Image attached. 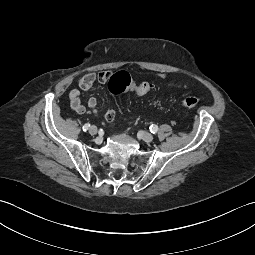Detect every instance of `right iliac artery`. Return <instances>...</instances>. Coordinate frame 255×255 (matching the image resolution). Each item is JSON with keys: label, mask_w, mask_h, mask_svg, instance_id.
Returning <instances> with one entry per match:
<instances>
[{"label": "right iliac artery", "mask_w": 255, "mask_h": 255, "mask_svg": "<svg viewBox=\"0 0 255 255\" xmlns=\"http://www.w3.org/2000/svg\"><path fill=\"white\" fill-rule=\"evenodd\" d=\"M89 127H90V124L86 123L83 125L82 129H83V131H87L89 129Z\"/></svg>", "instance_id": "1"}]
</instances>
